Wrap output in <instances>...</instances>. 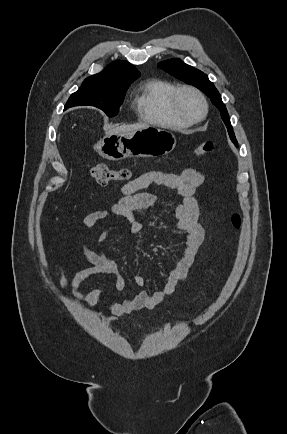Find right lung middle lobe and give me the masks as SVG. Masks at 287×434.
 I'll use <instances>...</instances> for the list:
<instances>
[{
	"instance_id": "dd1d6c3e",
	"label": "right lung middle lobe",
	"mask_w": 287,
	"mask_h": 434,
	"mask_svg": "<svg viewBox=\"0 0 287 434\" xmlns=\"http://www.w3.org/2000/svg\"><path fill=\"white\" fill-rule=\"evenodd\" d=\"M130 82H110L108 80H86L77 92L68 99L65 109L79 105H91L113 117L119 112L125 92Z\"/></svg>"
}]
</instances>
